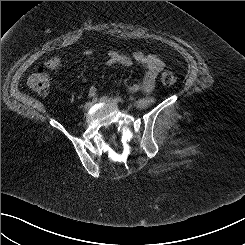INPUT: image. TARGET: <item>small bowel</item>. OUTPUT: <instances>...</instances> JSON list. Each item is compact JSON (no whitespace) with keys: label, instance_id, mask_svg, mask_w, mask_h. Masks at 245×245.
<instances>
[{"label":"small bowel","instance_id":"obj_1","mask_svg":"<svg viewBox=\"0 0 245 245\" xmlns=\"http://www.w3.org/2000/svg\"><path fill=\"white\" fill-rule=\"evenodd\" d=\"M86 55L90 54L89 51L85 52ZM62 56H55L48 59L44 65L47 69L52 71H60L62 69ZM106 63L108 65H123L131 66L138 64L144 69L143 79L139 82L129 84L126 86V90L132 93L136 92H151L156 83V79L159 73L164 68V63L157 56L152 54H146L142 51H134L129 55L122 54L116 50H111L107 54ZM96 87L92 86L89 89V95L94 96L96 94Z\"/></svg>","mask_w":245,"mask_h":245}]
</instances>
